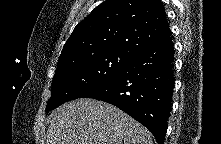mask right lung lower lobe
I'll return each instance as SVG.
<instances>
[{
    "instance_id": "obj_1",
    "label": "right lung lower lobe",
    "mask_w": 221,
    "mask_h": 144,
    "mask_svg": "<svg viewBox=\"0 0 221 144\" xmlns=\"http://www.w3.org/2000/svg\"><path fill=\"white\" fill-rule=\"evenodd\" d=\"M171 34L137 53L115 76L81 98L108 102L146 126L163 144L174 87Z\"/></svg>"
}]
</instances>
